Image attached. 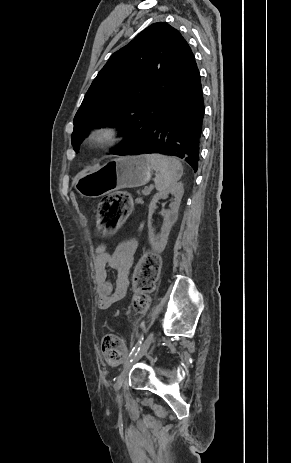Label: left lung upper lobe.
Segmentation results:
<instances>
[{
	"instance_id": "1",
	"label": "left lung upper lobe",
	"mask_w": 291,
	"mask_h": 463,
	"mask_svg": "<svg viewBox=\"0 0 291 463\" xmlns=\"http://www.w3.org/2000/svg\"><path fill=\"white\" fill-rule=\"evenodd\" d=\"M197 71L194 54L178 30L163 22L150 25L111 55L92 82L74 117V150L89 130L101 126L125 133L112 154L132 149Z\"/></svg>"
}]
</instances>
